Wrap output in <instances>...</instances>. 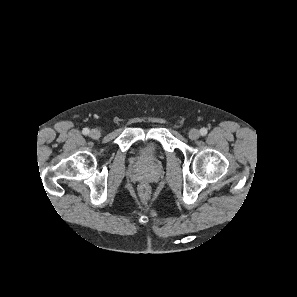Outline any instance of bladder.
Here are the masks:
<instances>
[{"label":"bladder","mask_w":297,"mask_h":297,"mask_svg":"<svg viewBox=\"0 0 297 297\" xmlns=\"http://www.w3.org/2000/svg\"><path fill=\"white\" fill-rule=\"evenodd\" d=\"M139 153L146 159H150L156 156L157 146L153 142H146L139 146Z\"/></svg>","instance_id":"bladder-1"}]
</instances>
